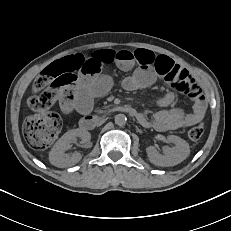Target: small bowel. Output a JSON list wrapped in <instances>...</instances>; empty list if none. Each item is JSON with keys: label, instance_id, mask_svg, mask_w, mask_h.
Masks as SVG:
<instances>
[{"label": "small bowel", "instance_id": "obj_1", "mask_svg": "<svg viewBox=\"0 0 231 231\" xmlns=\"http://www.w3.org/2000/svg\"><path fill=\"white\" fill-rule=\"evenodd\" d=\"M59 61L67 63L75 76L72 98L60 100L61 110L65 114H69L73 110L81 113L89 112L93 99L110 90L112 80L109 76L102 74V71L111 64H115L123 71H129L135 67L133 73L122 82L124 89L128 91L146 88L158 76L169 81L172 74L179 75L181 72H187L170 57L156 56L152 51L146 49L134 51L105 49L89 55L80 53L70 55ZM192 100L191 112L186 113L181 107H170L174 102V94L167 93L158 101L164 109L156 112L151 120L143 114H140L138 120L142 125L153 127L159 131L195 125L204 119L206 105L202 97Z\"/></svg>", "mask_w": 231, "mask_h": 231}]
</instances>
